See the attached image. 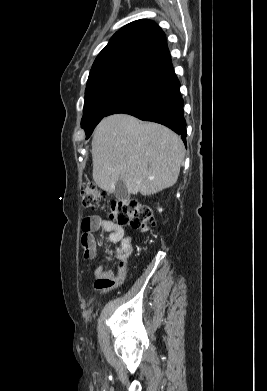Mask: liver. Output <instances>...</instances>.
Here are the masks:
<instances>
[{"mask_svg": "<svg viewBox=\"0 0 267 391\" xmlns=\"http://www.w3.org/2000/svg\"><path fill=\"white\" fill-rule=\"evenodd\" d=\"M184 154L181 138L167 127L111 115L94 131L93 179L108 193L121 179L130 194H155L176 183Z\"/></svg>", "mask_w": 267, "mask_h": 391, "instance_id": "liver-1", "label": "liver"}]
</instances>
